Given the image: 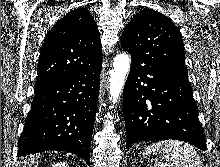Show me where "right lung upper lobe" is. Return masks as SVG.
Wrapping results in <instances>:
<instances>
[{
  "mask_svg": "<svg viewBox=\"0 0 220 167\" xmlns=\"http://www.w3.org/2000/svg\"><path fill=\"white\" fill-rule=\"evenodd\" d=\"M100 34L86 8H77L47 33L37 66L36 86L49 84L101 64Z\"/></svg>",
  "mask_w": 220,
  "mask_h": 167,
  "instance_id": "1",
  "label": "right lung upper lobe"
}]
</instances>
